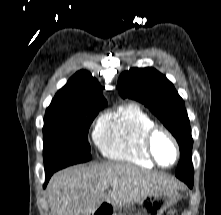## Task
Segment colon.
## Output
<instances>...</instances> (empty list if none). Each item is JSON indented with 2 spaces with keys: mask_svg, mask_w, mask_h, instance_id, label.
I'll list each match as a JSON object with an SVG mask.
<instances>
[{
  "mask_svg": "<svg viewBox=\"0 0 221 215\" xmlns=\"http://www.w3.org/2000/svg\"><path fill=\"white\" fill-rule=\"evenodd\" d=\"M169 215H174V212H170Z\"/></svg>",
  "mask_w": 221,
  "mask_h": 215,
  "instance_id": "obj_1",
  "label": "colon"
}]
</instances>
